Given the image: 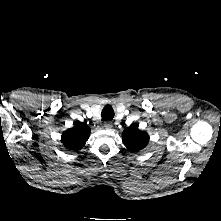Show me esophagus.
Returning a JSON list of instances; mask_svg holds the SVG:
<instances>
[{"label":"esophagus","instance_id":"1","mask_svg":"<svg viewBox=\"0 0 221 221\" xmlns=\"http://www.w3.org/2000/svg\"><path fill=\"white\" fill-rule=\"evenodd\" d=\"M113 124L112 122L110 121H107L104 123V127L107 129V130H110L112 128Z\"/></svg>","mask_w":221,"mask_h":221}]
</instances>
